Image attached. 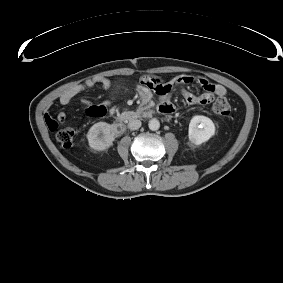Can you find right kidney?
I'll use <instances>...</instances> for the list:
<instances>
[{
	"label": "right kidney",
	"mask_w": 283,
	"mask_h": 283,
	"mask_svg": "<svg viewBox=\"0 0 283 283\" xmlns=\"http://www.w3.org/2000/svg\"><path fill=\"white\" fill-rule=\"evenodd\" d=\"M90 148L96 151L108 149L114 141L111 125L106 122L95 123L87 133Z\"/></svg>",
	"instance_id": "1"
}]
</instances>
